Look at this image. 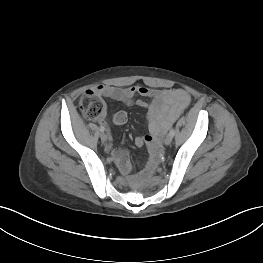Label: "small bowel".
I'll list each match as a JSON object with an SVG mask.
<instances>
[{
	"mask_svg": "<svg viewBox=\"0 0 263 263\" xmlns=\"http://www.w3.org/2000/svg\"><path fill=\"white\" fill-rule=\"evenodd\" d=\"M93 91L99 96L120 101L126 105L136 103L145 108L147 110L148 134L136 137L135 145L141 147L147 144L151 149L156 148L162 135L188 107L191 100L190 95L183 89L160 90L141 85L126 88L99 85ZM138 97L141 98L137 99ZM112 121L116 125L125 124L127 113L123 110L115 112ZM101 122H104V119ZM107 148L112 153L121 172L129 175L132 165L128 152L122 148H114L111 144H108ZM130 178L135 179L136 176L131 175Z\"/></svg>",
	"mask_w": 263,
	"mask_h": 263,
	"instance_id": "obj_1",
	"label": "small bowel"
}]
</instances>
